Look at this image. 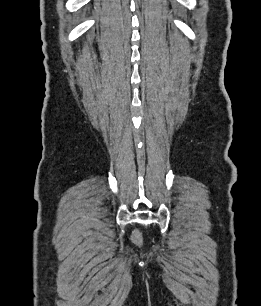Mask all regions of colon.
Segmentation results:
<instances>
[{"label":"colon","instance_id":"1","mask_svg":"<svg viewBox=\"0 0 261 306\" xmlns=\"http://www.w3.org/2000/svg\"><path fill=\"white\" fill-rule=\"evenodd\" d=\"M135 238H136V239H138V238H139V236L136 234V235H135Z\"/></svg>","mask_w":261,"mask_h":306}]
</instances>
